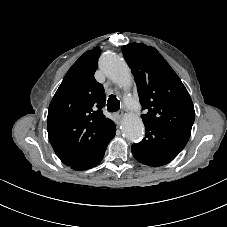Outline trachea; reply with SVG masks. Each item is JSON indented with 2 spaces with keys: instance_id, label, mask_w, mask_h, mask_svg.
Segmentation results:
<instances>
[{
  "instance_id": "3493384b",
  "label": "trachea",
  "mask_w": 227,
  "mask_h": 227,
  "mask_svg": "<svg viewBox=\"0 0 227 227\" xmlns=\"http://www.w3.org/2000/svg\"><path fill=\"white\" fill-rule=\"evenodd\" d=\"M120 109V103L114 95H110L107 101V110L109 112H116Z\"/></svg>"
}]
</instances>
